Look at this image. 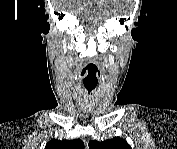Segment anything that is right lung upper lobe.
<instances>
[{
  "mask_svg": "<svg viewBox=\"0 0 177 149\" xmlns=\"http://www.w3.org/2000/svg\"><path fill=\"white\" fill-rule=\"evenodd\" d=\"M45 149H84V143L80 139L75 140H50Z\"/></svg>",
  "mask_w": 177,
  "mask_h": 149,
  "instance_id": "1",
  "label": "right lung upper lobe"
}]
</instances>
